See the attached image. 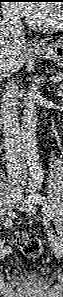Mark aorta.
I'll return each mask as SVG.
<instances>
[{"label": "aorta", "instance_id": "762f6f07", "mask_svg": "<svg viewBox=\"0 0 63 297\" xmlns=\"http://www.w3.org/2000/svg\"><path fill=\"white\" fill-rule=\"evenodd\" d=\"M37 107L34 102H26L21 122L23 153L32 167H38L39 156L36 140Z\"/></svg>", "mask_w": 63, "mask_h": 297}]
</instances>
